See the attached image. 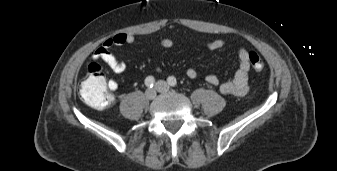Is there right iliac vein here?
Returning <instances> with one entry per match:
<instances>
[{"label": "right iliac vein", "mask_w": 337, "mask_h": 171, "mask_svg": "<svg viewBox=\"0 0 337 171\" xmlns=\"http://www.w3.org/2000/svg\"><path fill=\"white\" fill-rule=\"evenodd\" d=\"M156 90L155 89H148L145 92V96L148 100H153L156 97Z\"/></svg>", "instance_id": "1"}]
</instances>
